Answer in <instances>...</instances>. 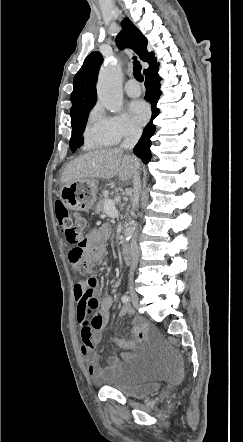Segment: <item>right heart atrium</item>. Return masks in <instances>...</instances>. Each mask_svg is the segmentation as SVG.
Returning <instances> with one entry per match:
<instances>
[{"mask_svg":"<svg viewBox=\"0 0 243 442\" xmlns=\"http://www.w3.org/2000/svg\"><path fill=\"white\" fill-rule=\"evenodd\" d=\"M98 117L102 131L106 133L114 143L137 137L140 134V128L126 113H99Z\"/></svg>","mask_w":243,"mask_h":442,"instance_id":"d8ad5b80","label":"right heart atrium"}]
</instances>
